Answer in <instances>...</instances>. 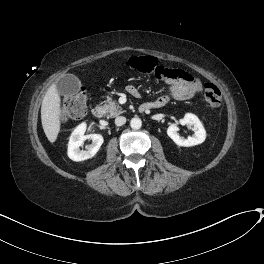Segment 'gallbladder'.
Wrapping results in <instances>:
<instances>
[{"label": "gallbladder", "mask_w": 264, "mask_h": 264, "mask_svg": "<svg viewBox=\"0 0 264 264\" xmlns=\"http://www.w3.org/2000/svg\"><path fill=\"white\" fill-rule=\"evenodd\" d=\"M59 93L63 95H75L80 91L81 82L73 74H67L56 84Z\"/></svg>", "instance_id": "bac80fb5"}]
</instances>
